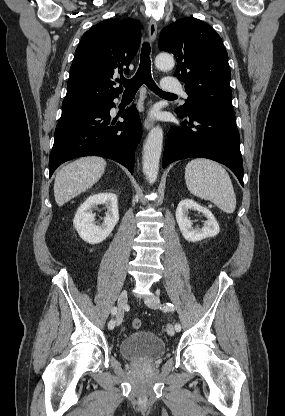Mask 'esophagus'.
Returning a JSON list of instances; mask_svg holds the SVG:
<instances>
[{
    "mask_svg": "<svg viewBox=\"0 0 285 416\" xmlns=\"http://www.w3.org/2000/svg\"><path fill=\"white\" fill-rule=\"evenodd\" d=\"M148 33H149V39L151 42H154L157 35V24L154 18L150 19L149 25H148ZM154 122L152 119H145L144 121V128L146 130H149L153 127Z\"/></svg>",
    "mask_w": 285,
    "mask_h": 416,
    "instance_id": "esophagus-1",
    "label": "esophagus"
}]
</instances>
